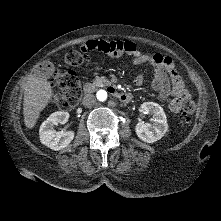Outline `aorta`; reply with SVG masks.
Wrapping results in <instances>:
<instances>
[{
	"instance_id": "obj_1",
	"label": "aorta",
	"mask_w": 221,
	"mask_h": 221,
	"mask_svg": "<svg viewBox=\"0 0 221 221\" xmlns=\"http://www.w3.org/2000/svg\"><path fill=\"white\" fill-rule=\"evenodd\" d=\"M97 99L99 101H105L107 99V92L105 90H99L97 92Z\"/></svg>"
}]
</instances>
